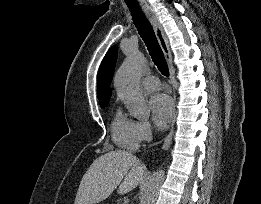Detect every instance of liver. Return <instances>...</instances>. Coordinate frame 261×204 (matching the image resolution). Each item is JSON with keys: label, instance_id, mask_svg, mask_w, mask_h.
<instances>
[{"label": "liver", "instance_id": "6515ba94", "mask_svg": "<svg viewBox=\"0 0 261 204\" xmlns=\"http://www.w3.org/2000/svg\"><path fill=\"white\" fill-rule=\"evenodd\" d=\"M146 177L144 164L132 153L115 150L93 161L80 182L74 204H95L117 187L118 193L132 191Z\"/></svg>", "mask_w": 261, "mask_h": 204}]
</instances>
